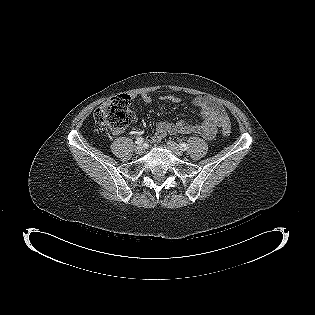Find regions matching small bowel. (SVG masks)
<instances>
[{
  "label": "small bowel",
  "instance_id": "obj_1",
  "mask_svg": "<svg viewBox=\"0 0 315 315\" xmlns=\"http://www.w3.org/2000/svg\"><path fill=\"white\" fill-rule=\"evenodd\" d=\"M161 100L179 103L180 98L175 95H162ZM141 100L149 104L152 102V97L149 94H142ZM192 105L198 108L202 115V121L197 124H192L187 121H178L176 123L158 121L156 123V132L148 137L151 143H158L168 134H199L204 138L211 139L215 136L218 127L229 123L228 116L223 106L215 99L208 96H197L192 99ZM118 133L119 130H115Z\"/></svg>",
  "mask_w": 315,
  "mask_h": 315
}]
</instances>
